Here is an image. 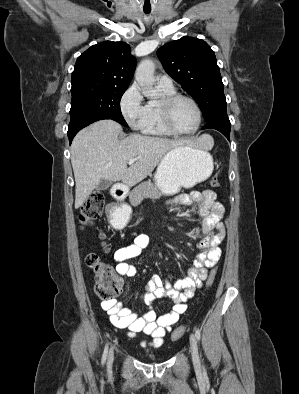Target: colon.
<instances>
[{"instance_id":"1","label":"colon","mask_w":299,"mask_h":394,"mask_svg":"<svg viewBox=\"0 0 299 394\" xmlns=\"http://www.w3.org/2000/svg\"><path fill=\"white\" fill-rule=\"evenodd\" d=\"M210 184L213 187L220 186V179L217 174L213 175ZM105 195L102 192H93L83 203L80 211V221L89 225L96 221L102 214L105 205ZM86 265L93 271L96 280L95 292L104 301H113L120 293L122 287L121 279L116 275L113 268L103 262L96 253H90L85 259ZM217 270L212 268L207 276L206 285L211 287L215 281ZM185 332V327L181 326L172 333V339L178 340Z\"/></svg>"}]
</instances>
